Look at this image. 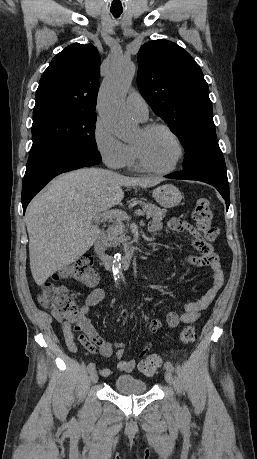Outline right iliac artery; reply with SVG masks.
Listing matches in <instances>:
<instances>
[{"mask_svg": "<svg viewBox=\"0 0 257 459\" xmlns=\"http://www.w3.org/2000/svg\"><path fill=\"white\" fill-rule=\"evenodd\" d=\"M87 370L88 372H92L95 370V364L94 363H89L88 366H87Z\"/></svg>", "mask_w": 257, "mask_h": 459, "instance_id": "1", "label": "right iliac artery"}]
</instances>
